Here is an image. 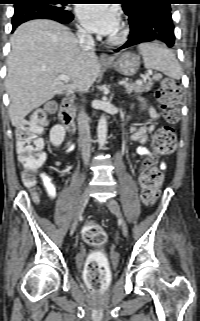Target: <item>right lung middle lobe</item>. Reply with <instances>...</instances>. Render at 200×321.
Listing matches in <instances>:
<instances>
[{
	"instance_id": "dd1d6c3e",
	"label": "right lung middle lobe",
	"mask_w": 200,
	"mask_h": 321,
	"mask_svg": "<svg viewBox=\"0 0 200 321\" xmlns=\"http://www.w3.org/2000/svg\"><path fill=\"white\" fill-rule=\"evenodd\" d=\"M69 0H32L26 2V4H36L50 7L59 12H67L65 6L68 4ZM17 7V6H16Z\"/></svg>"
}]
</instances>
